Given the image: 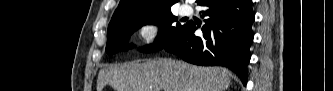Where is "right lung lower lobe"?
Returning a JSON list of instances; mask_svg holds the SVG:
<instances>
[{
	"label": "right lung lower lobe",
	"mask_w": 333,
	"mask_h": 91,
	"mask_svg": "<svg viewBox=\"0 0 333 91\" xmlns=\"http://www.w3.org/2000/svg\"><path fill=\"white\" fill-rule=\"evenodd\" d=\"M207 9L202 36H195L197 26L189 21L182 31L163 49L196 64L226 66L238 74L246 85L252 24L255 16L252 0H201Z\"/></svg>",
	"instance_id": "right-lung-lower-lobe-1"
}]
</instances>
